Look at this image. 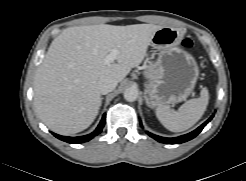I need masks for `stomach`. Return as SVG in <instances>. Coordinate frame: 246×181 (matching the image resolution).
<instances>
[{"label":"stomach","instance_id":"obj_1","mask_svg":"<svg viewBox=\"0 0 246 181\" xmlns=\"http://www.w3.org/2000/svg\"><path fill=\"white\" fill-rule=\"evenodd\" d=\"M184 31L162 27L150 39L157 49L158 73L145 82V101L150 108L182 102L195 88L199 67L195 58L179 47Z\"/></svg>","mask_w":246,"mask_h":181}]
</instances>
